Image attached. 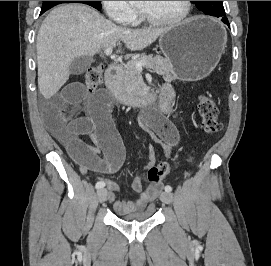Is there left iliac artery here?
Wrapping results in <instances>:
<instances>
[{"instance_id":"44dca946","label":"left iliac artery","mask_w":271,"mask_h":266,"mask_svg":"<svg viewBox=\"0 0 271 266\" xmlns=\"http://www.w3.org/2000/svg\"><path fill=\"white\" fill-rule=\"evenodd\" d=\"M165 191L166 192H171L172 191V187L169 186V185L165 186Z\"/></svg>"}]
</instances>
